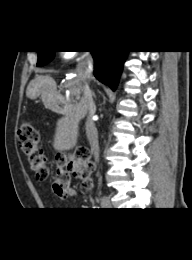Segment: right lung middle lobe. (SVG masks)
Returning a JSON list of instances; mask_svg holds the SVG:
<instances>
[{"label":"right lung middle lobe","mask_w":192,"mask_h":260,"mask_svg":"<svg viewBox=\"0 0 192 260\" xmlns=\"http://www.w3.org/2000/svg\"><path fill=\"white\" fill-rule=\"evenodd\" d=\"M55 55V51H38L37 66H44L49 63Z\"/></svg>","instance_id":"1"}]
</instances>
